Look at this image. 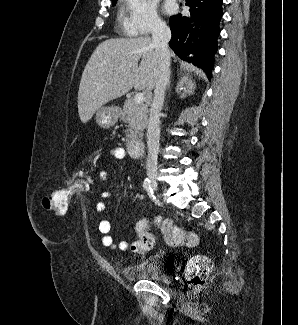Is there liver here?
<instances>
[{
  "instance_id": "1",
  "label": "liver",
  "mask_w": 298,
  "mask_h": 325,
  "mask_svg": "<svg viewBox=\"0 0 298 325\" xmlns=\"http://www.w3.org/2000/svg\"><path fill=\"white\" fill-rule=\"evenodd\" d=\"M170 56H174L172 50ZM157 70V52L151 36L108 38L100 42L79 84L77 104L81 122H88L103 104L123 96L133 86L153 90Z\"/></svg>"
}]
</instances>
